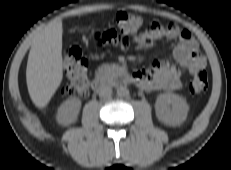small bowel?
I'll return each instance as SVG.
<instances>
[{"mask_svg":"<svg viewBox=\"0 0 231 170\" xmlns=\"http://www.w3.org/2000/svg\"><path fill=\"white\" fill-rule=\"evenodd\" d=\"M93 39L98 46L113 45L122 49L131 46L148 48L160 39L178 40L172 54L177 64L156 61L149 68L134 73L135 83L149 91L178 90L183 85L184 75H193L206 65L205 57L190 31L174 23L163 26L153 22L135 37L109 29L94 33Z\"/></svg>","mask_w":231,"mask_h":170,"instance_id":"obj_1","label":"small bowel"}]
</instances>
